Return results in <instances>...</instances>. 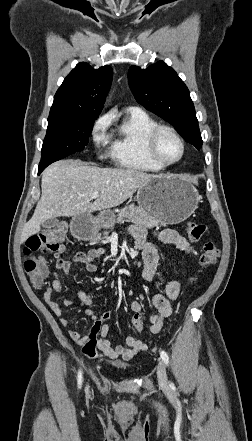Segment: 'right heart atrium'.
Instances as JSON below:
<instances>
[{
  "label": "right heart atrium",
  "mask_w": 252,
  "mask_h": 441,
  "mask_svg": "<svg viewBox=\"0 0 252 441\" xmlns=\"http://www.w3.org/2000/svg\"><path fill=\"white\" fill-rule=\"evenodd\" d=\"M109 122L108 116H102L95 121L92 127L91 139L96 149H101L109 143V137L107 135Z\"/></svg>",
  "instance_id": "1"
}]
</instances>
